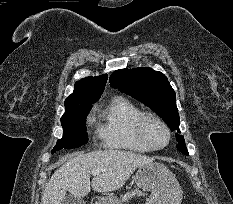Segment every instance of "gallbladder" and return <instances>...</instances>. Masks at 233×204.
Here are the masks:
<instances>
[{
    "mask_svg": "<svg viewBox=\"0 0 233 204\" xmlns=\"http://www.w3.org/2000/svg\"><path fill=\"white\" fill-rule=\"evenodd\" d=\"M61 204H85V201L81 197L67 195L65 196Z\"/></svg>",
    "mask_w": 233,
    "mask_h": 204,
    "instance_id": "bac80fb5",
    "label": "gallbladder"
}]
</instances>
